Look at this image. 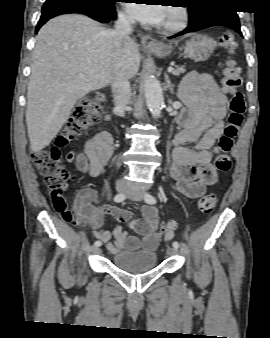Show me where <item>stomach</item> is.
I'll list each match as a JSON object with an SVG mask.
<instances>
[{
  "mask_svg": "<svg viewBox=\"0 0 270 338\" xmlns=\"http://www.w3.org/2000/svg\"><path fill=\"white\" fill-rule=\"evenodd\" d=\"M177 43L161 44L157 49H149L156 56L164 58L169 56ZM215 48L214 40L205 35L194 34L186 41L184 54L195 62L206 61Z\"/></svg>",
  "mask_w": 270,
  "mask_h": 338,
  "instance_id": "0dacf381",
  "label": "stomach"
}]
</instances>
